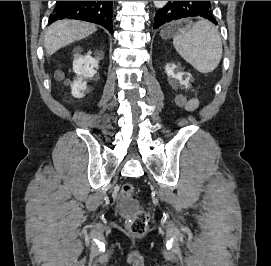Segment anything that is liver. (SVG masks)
<instances>
[{
	"label": "liver",
	"instance_id": "1",
	"mask_svg": "<svg viewBox=\"0 0 271 266\" xmlns=\"http://www.w3.org/2000/svg\"><path fill=\"white\" fill-rule=\"evenodd\" d=\"M97 30L90 23L77 20H58L51 24L46 32L44 47L48 55L54 54L60 48L79 41Z\"/></svg>",
	"mask_w": 271,
	"mask_h": 266
}]
</instances>
